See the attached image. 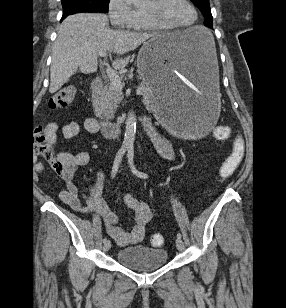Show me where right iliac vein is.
<instances>
[{
    "label": "right iliac vein",
    "instance_id": "1",
    "mask_svg": "<svg viewBox=\"0 0 286 308\" xmlns=\"http://www.w3.org/2000/svg\"><path fill=\"white\" fill-rule=\"evenodd\" d=\"M111 248V242L108 240L103 245V250L108 251Z\"/></svg>",
    "mask_w": 286,
    "mask_h": 308
}]
</instances>
